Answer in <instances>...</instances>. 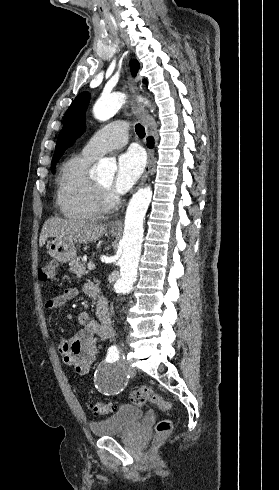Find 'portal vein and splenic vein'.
Returning <instances> with one entry per match:
<instances>
[{
  "instance_id": "1",
  "label": "portal vein and splenic vein",
  "mask_w": 279,
  "mask_h": 490,
  "mask_svg": "<svg viewBox=\"0 0 279 490\" xmlns=\"http://www.w3.org/2000/svg\"><path fill=\"white\" fill-rule=\"evenodd\" d=\"M87 268H88V270H94L95 266H94V264H92V262H88Z\"/></svg>"
}]
</instances>
